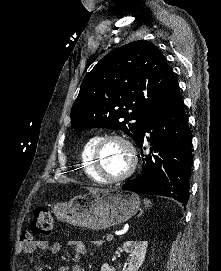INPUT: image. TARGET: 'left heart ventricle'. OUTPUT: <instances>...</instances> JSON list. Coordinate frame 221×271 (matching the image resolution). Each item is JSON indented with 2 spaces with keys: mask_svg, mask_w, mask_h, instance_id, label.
Here are the masks:
<instances>
[{
  "mask_svg": "<svg viewBox=\"0 0 221 271\" xmlns=\"http://www.w3.org/2000/svg\"><path fill=\"white\" fill-rule=\"evenodd\" d=\"M100 141H109V144H102V149L97 152L100 153L98 163L103 166V172H108V177H121L122 169H127L129 166L128 161H124V156H128L127 152H123L121 149L120 141L123 140L111 138Z\"/></svg>",
  "mask_w": 221,
  "mask_h": 271,
  "instance_id": "left-heart-ventricle-1",
  "label": "left heart ventricle"
}]
</instances>
